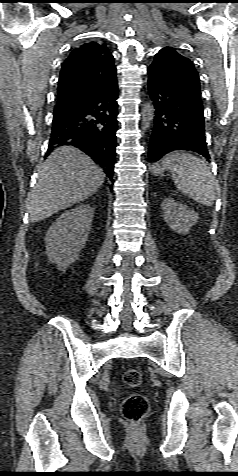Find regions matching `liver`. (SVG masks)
<instances>
[{
    "label": "liver",
    "instance_id": "1",
    "mask_svg": "<svg viewBox=\"0 0 238 476\" xmlns=\"http://www.w3.org/2000/svg\"><path fill=\"white\" fill-rule=\"evenodd\" d=\"M105 173L79 149L54 150L38 171L27 203L31 222H38L87 199L103 184Z\"/></svg>",
    "mask_w": 238,
    "mask_h": 476
}]
</instances>
